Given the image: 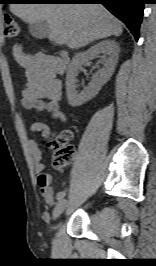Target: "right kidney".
Masks as SVG:
<instances>
[{"label": "right kidney", "instance_id": "obj_1", "mask_svg": "<svg viewBox=\"0 0 156 266\" xmlns=\"http://www.w3.org/2000/svg\"><path fill=\"white\" fill-rule=\"evenodd\" d=\"M119 45L115 40H103L91 46L84 52L76 53L68 66L66 75V93L69 105L80 106L94 98L101 87L112 76L118 61ZM103 54V67L92 77L91 82L80 93L76 90V77L82 65Z\"/></svg>", "mask_w": 156, "mask_h": 266}]
</instances>
